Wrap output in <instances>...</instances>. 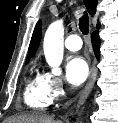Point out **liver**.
I'll list each match as a JSON object with an SVG mask.
<instances>
[{"label": "liver", "instance_id": "obj_1", "mask_svg": "<svg viewBox=\"0 0 118 123\" xmlns=\"http://www.w3.org/2000/svg\"><path fill=\"white\" fill-rule=\"evenodd\" d=\"M4 123H61V121H56L43 114L33 113L10 117Z\"/></svg>", "mask_w": 118, "mask_h": 123}]
</instances>
